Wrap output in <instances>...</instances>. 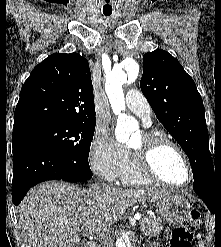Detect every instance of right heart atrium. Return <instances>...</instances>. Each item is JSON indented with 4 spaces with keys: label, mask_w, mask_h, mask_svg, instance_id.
<instances>
[{
    "label": "right heart atrium",
    "mask_w": 221,
    "mask_h": 247,
    "mask_svg": "<svg viewBox=\"0 0 221 247\" xmlns=\"http://www.w3.org/2000/svg\"><path fill=\"white\" fill-rule=\"evenodd\" d=\"M126 148L113 139L106 131H96L89 148V163L98 176L116 180L124 162Z\"/></svg>",
    "instance_id": "right-heart-atrium-1"
}]
</instances>
